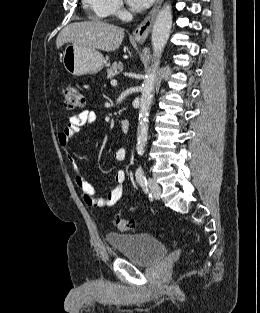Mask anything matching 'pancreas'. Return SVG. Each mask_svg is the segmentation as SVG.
I'll return each mask as SVG.
<instances>
[{
  "instance_id": "obj_1",
  "label": "pancreas",
  "mask_w": 260,
  "mask_h": 313,
  "mask_svg": "<svg viewBox=\"0 0 260 313\" xmlns=\"http://www.w3.org/2000/svg\"><path fill=\"white\" fill-rule=\"evenodd\" d=\"M123 69L122 63H114L109 69H107V78L112 79L117 76Z\"/></svg>"
}]
</instances>
